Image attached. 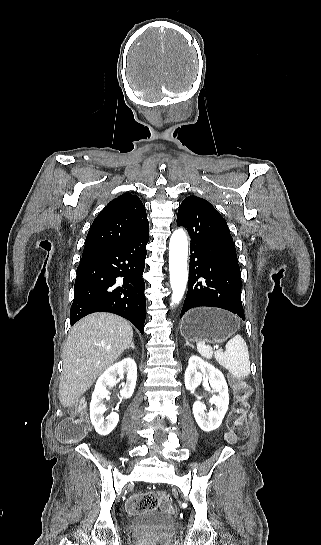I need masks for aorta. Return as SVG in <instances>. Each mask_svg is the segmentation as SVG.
I'll use <instances>...</instances> for the list:
<instances>
[{
  "label": "aorta",
  "instance_id": "aorta-1",
  "mask_svg": "<svg viewBox=\"0 0 321 545\" xmlns=\"http://www.w3.org/2000/svg\"><path fill=\"white\" fill-rule=\"evenodd\" d=\"M188 241L183 229L175 230L169 243V273L172 289L171 305L179 304L188 280Z\"/></svg>",
  "mask_w": 321,
  "mask_h": 545
}]
</instances>
